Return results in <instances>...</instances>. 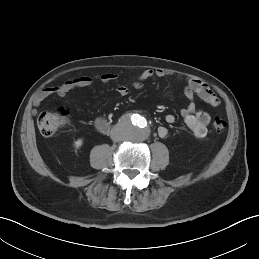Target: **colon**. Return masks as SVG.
<instances>
[{"mask_svg":"<svg viewBox=\"0 0 259 259\" xmlns=\"http://www.w3.org/2000/svg\"><path fill=\"white\" fill-rule=\"evenodd\" d=\"M69 121V112L60 107L53 111L43 112L38 121L39 129L44 136H53ZM215 132H223L226 129V122L221 118H215L212 123Z\"/></svg>","mask_w":259,"mask_h":259,"instance_id":"obj_1","label":"colon"}]
</instances>
